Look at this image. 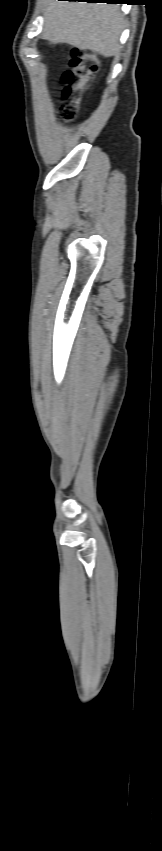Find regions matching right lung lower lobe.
<instances>
[{
    "label": "right lung lower lobe",
    "mask_w": 162,
    "mask_h": 851,
    "mask_svg": "<svg viewBox=\"0 0 162 851\" xmlns=\"http://www.w3.org/2000/svg\"><path fill=\"white\" fill-rule=\"evenodd\" d=\"M68 1H86V2H96V3H108V4H120L126 3L127 0H68Z\"/></svg>",
    "instance_id": "obj_1"
}]
</instances>
